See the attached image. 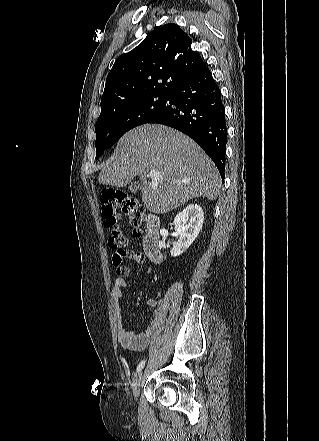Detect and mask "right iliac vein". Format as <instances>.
I'll list each match as a JSON object with an SVG mask.
<instances>
[{
    "label": "right iliac vein",
    "instance_id": "obj_1",
    "mask_svg": "<svg viewBox=\"0 0 319 441\" xmlns=\"http://www.w3.org/2000/svg\"><path fill=\"white\" fill-rule=\"evenodd\" d=\"M141 385H142V372H139L137 375H135L132 384V392L135 399H137V397L139 396Z\"/></svg>",
    "mask_w": 319,
    "mask_h": 441
}]
</instances>
